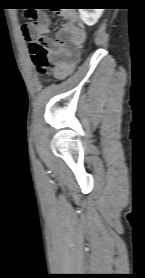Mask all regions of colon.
Masks as SVG:
<instances>
[{
    "label": "colon",
    "instance_id": "obj_1",
    "mask_svg": "<svg viewBox=\"0 0 145 278\" xmlns=\"http://www.w3.org/2000/svg\"><path fill=\"white\" fill-rule=\"evenodd\" d=\"M26 39L38 73L41 75L46 74L49 70L50 63L45 46L40 41L30 36H27Z\"/></svg>",
    "mask_w": 145,
    "mask_h": 278
}]
</instances>
